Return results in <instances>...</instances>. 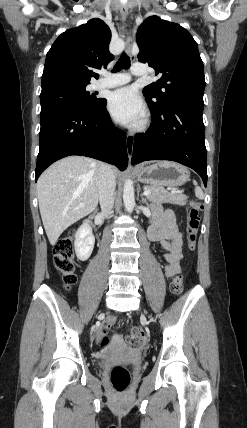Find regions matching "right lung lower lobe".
Listing matches in <instances>:
<instances>
[{
    "mask_svg": "<svg viewBox=\"0 0 247 428\" xmlns=\"http://www.w3.org/2000/svg\"><path fill=\"white\" fill-rule=\"evenodd\" d=\"M37 181L53 162L70 155H84L126 169V135L116 129L106 111V100L91 112L58 107L41 111Z\"/></svg>",
    "mask_w": 247,
    "mask_h": 428,
    "instance_id": "98d812e1",
    "label": "right lung lower lobe"
}]
</instances>
